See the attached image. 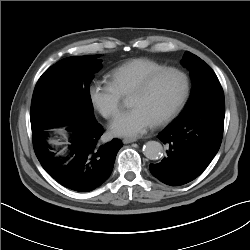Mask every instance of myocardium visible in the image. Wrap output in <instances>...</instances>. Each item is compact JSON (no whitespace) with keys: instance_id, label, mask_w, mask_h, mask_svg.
Segmentation results:
<instances>
[{"instance_id":"myocardium-1","label":"myocardium","mask_w":250,"mask_h":250,"mask_svg":"<svg viewBox=\"0 0 250 250\" xmlns=\"http://www.w3.org/2000/svg\"><path fill=\"white\" fill-rule=\"evenodd\" d=\"M167 73H176V74L180 75L184 81V88H183V92H182L179 100L174 105V107L167 114H165L163 117H161L159 120L156 121L155 124L158 126L165 125L168 122H170L183 109L184 105L187 102L189 94H190L191 83H190L189 75L184 70H182L180 68L164 67V68H161L157 71H154L153 73H151L147 77H145L132 92V94H134V93L143 94V93L147 92L150 89V87L153 85V83L160 76L167 74Z\"/></svg>"}]
</instances>
